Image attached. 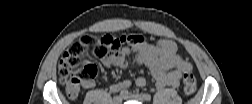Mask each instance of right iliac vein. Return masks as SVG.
<instances>
[{
  "label": "right iliac vein",
  "mask_w": 252,
  "mask_h": 104,
  "mask_svg": "<svg viewBox=\"0 0 252 104\" xmlns=\"http://www.w3.org/2000/svg\"><path fill=\"white\" fill-rule=\"evenodd\" d=\"M122 100H123V98L121 96H116L113 98L114 104H121Z\"/></svg>",
  "instance_id": "1"
}]
</instances>
